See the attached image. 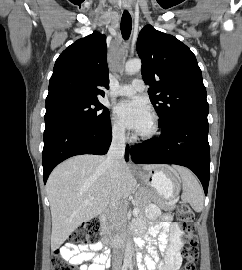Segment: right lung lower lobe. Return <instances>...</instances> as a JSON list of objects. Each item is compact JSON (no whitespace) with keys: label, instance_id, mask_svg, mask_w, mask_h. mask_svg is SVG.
I'll return each mask as SVG.
<instances>
[{"label":"right lung lower lobe","instance_id":"98d812e1","mask_svg":"<svg viewBox=\"0 0 242 270\" xmlns=\"http://www.w3.org/2000/svg\"><path fill=\"white\" fill-rule=\"evenodd\" d=\"M43 179L63 160L79 154L104 155L111 144L110 118L103 124H91L79 118H59L45 123ZM125 159L129 160V147Z\"/></svg>","mask_w":242,"mask_h":270}]
</instances>
